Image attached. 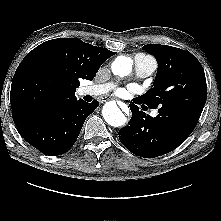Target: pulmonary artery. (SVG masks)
I'll return each mask as SVG.
<instances>
[{"label":"pulmonary artery","instance_id":"obj_1","mask_svg":"<svg viewBox=\"0 0 221 221\" xmlns=\"http://www.w3.org/2000/svg\"><path fill=\"white\" fill-rule=\"evenodd\" d=\"M156 69H157V62L154 58L142 54H137L134 57V70L137 77L139 78L148 77L152 75ZM114 87L115 84L113 82L86 86L81 89V94L91 95V96L102 95L108 93ZM157 114H158L157 111L152 112L153 117L157 116Z\"/></svg>","mask_w":221,"mask_h":221}]
</instances>
